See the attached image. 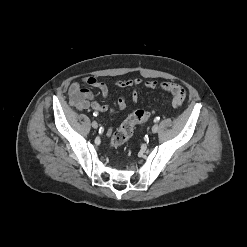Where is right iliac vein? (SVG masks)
<instances>
[{
    "label": "right iliac vein",
    "instance_id": "1",
    "mask_svg": "<svg viewBox=\"0 0 247 247\" xmlns=\"http://www.w3.org/2000/svg\"><path fill=\"white\" fill-rule=\"evenodd\" d=\"M92 127H93L94 129H97V128H98V124H97L96 121H93V122H92Z\"/></svg>",
    "mask_w": 247,
    "mask_h": 247
}]
</instances>
